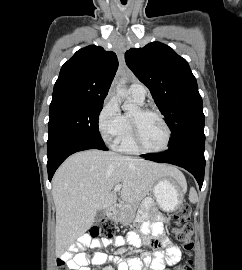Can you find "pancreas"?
I'll return each mask as SVG.
<instances>
[{"mask_svg": "<svg viewBox=\"0 0 242 270\" xmlns=\"http://www.w3.org/2000/svg\"><path fill=\"white\" fill-rule=\"evenodd\" d=\"M137 205L124 204L119 209L116 215L112 217L115 222H121L124 224L131 223L135 217Z\"/></svg>", "mask_w": 242, "mask_h": 270, "instance_id": "1", "label": "pancreas"}]
</instances>
